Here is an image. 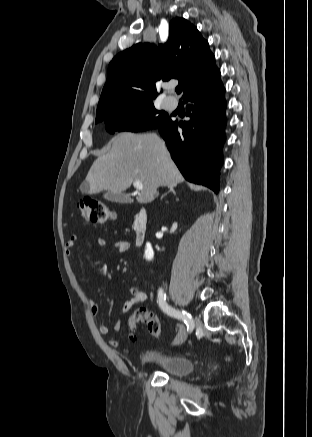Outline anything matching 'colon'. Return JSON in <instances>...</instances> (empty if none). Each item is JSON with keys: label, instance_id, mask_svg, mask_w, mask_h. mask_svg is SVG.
I'll list each match as a JSON object with an SVG mask.
<instances>
[{"label": "colon", "instance_id": "5ec220e1", "mask_svg": "<svg viewBox=\"0 0 312 437\" xmlns=\"http://www.w3.org/2000/svg\"><path fill=\"white\" fill-rule=\"evenodd\" d=\"M78 211L83 219L92 223H106L115 218L114 212L103 201L84 197L78 203ZM143 323L147 326L149 333L159 337L161 335L160 323L157 316L145 307L136 308L127 320V335L134 339L136 325Z\"/></svg>", "mask_w": 312, "mask_h": 437}]
</instances>
